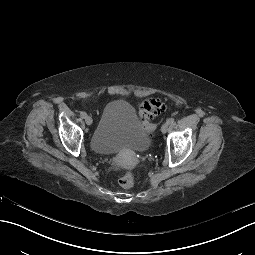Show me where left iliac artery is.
<instances>
[{"label":"left iliac artery","mask_w":255,"mask_h":255,"mask_svg":"<svg viewBox=\"0 0 255 255\" xmlns=\"http://www.w3.org/2000/svg\"><path fill=\"white\" fill-rule=\"evenodd\" d=\"M167 123H168V125H171V124H173L174 123V118H169V119H167Z\"/></svg>","instance_id":"44dca946"}]
</instances>
